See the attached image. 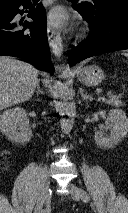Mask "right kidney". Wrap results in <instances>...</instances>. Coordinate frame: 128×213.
I'll use <instances>...</instances> for the list:
<instances>
[{"mask_svg": "<svg viewBox=\"0 0 128 213\" xmlns=\"http://www.w3.org/2000/svg\"><path fill=\"white\" fill-rule=\"evenodd\" d=\"M1 132L8 140L24 144L31 140L32 131L25 110L21 107L8 109L0 115Z\"/></svg>", "mask_w": 128, "mask_h": 213, "instance_id": "right-kidney-1", "label": "right kidney"}]
</instances>
